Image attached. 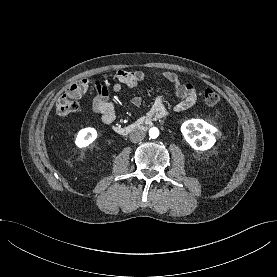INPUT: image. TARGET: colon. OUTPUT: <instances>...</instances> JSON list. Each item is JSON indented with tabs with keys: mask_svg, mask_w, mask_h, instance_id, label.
Returning <instances> with one entry per match:
<instances>
[{
	"mask_svg": "<svg viewBox=\"0 0 277 277\" xmlns=\"http://www.w3.org/2000/svg\"><path fill=\"white\" fill-rule=\"evenodd\" d=\"M89 84L81 80L69 87L66 93L60 96L56 102V111L61 116L69 115L78 108L76 99L87 91ZM204 101L207 105L214 106L219 100V94L213 89H206L203 94Z\"/></svg>",
	"mask_w": 277,
	"mask_h": 277,
	"instance_id": "5ec220e1",
	"label": "colon"
}]
</instances>
